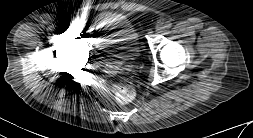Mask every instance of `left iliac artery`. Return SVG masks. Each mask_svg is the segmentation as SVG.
I'll use <instances>...</instances> for the list:
<instances>
[{"label":"left iliac artery","instance_id":"44dca946","mask_svg":"<svg viewBox=\"0 0 253 138\" xmlns=\"http://www.w3.org/2000/svg\"><path fill=\"white\" fill-rule=\"evenodd\" d=\"M172 26L171 22H166L164 28L169 29Z\"/></svg>","mask_w":253,"mask_h":138}]
</instances>
